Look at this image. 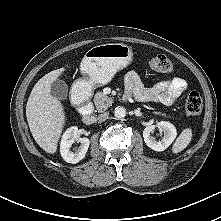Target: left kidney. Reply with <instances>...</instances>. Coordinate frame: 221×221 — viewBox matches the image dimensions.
I'll list each match as a JSON object with an SVG mask.
<instances>
[{
  "label": "left kidney",
  "mask_w": 221,
  "mask_h": 221,
  "mask_svg": "<svg viewBox=\"0 0 221 221\" xmlns=\"http://www.w3.org/2000/svg\"><path fill=\"white\" fill-rule=\"evenodd\" d=\"M155 127H157L164 134L162 139L159 141L151 135ZM176 135L177 131L174 125L166 121H161L156 126H147L143 131V138L146 145L152 150L158 152L164 151L166 148H168L175 140Z\"/></svg>",
  "instance_id": "left-kidney-1"
}]
</instances>
